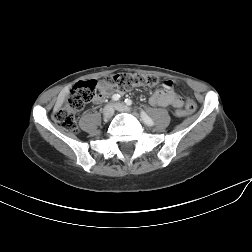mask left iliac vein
I'll list each match as a JSON object with an SVG mask.
<instances>
[{
    "instance_id": "left-iliac-vein-1",
    "label": "left iliac vein",
    "mask_w": 252,
    "mask_h": 252,
    "mask_svg": "<svg viewBox=\"0 0 252 252\" xmlns=\"http://www.w3.org/2000/svg\"><path fill=\"white\" fill-rule=\"evenodd\" d=\"M115 109L117 111H119V112H126V113L131 112V109L128 106H126V105H124L122 103H116L115 104Z\"/></svg>"
}]
</instances>
